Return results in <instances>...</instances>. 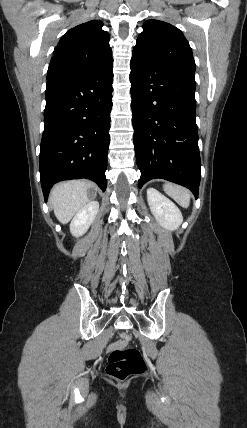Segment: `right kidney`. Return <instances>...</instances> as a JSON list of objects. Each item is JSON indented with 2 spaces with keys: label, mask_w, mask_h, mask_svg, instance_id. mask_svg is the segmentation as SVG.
Listing matches in <instances>:
<instances>
[{
  "label": "right kidney",
  "mask_w": 247,
  "mask_h": 428,
  "mask_svg": "<svg viewBox=\"0 0 247 428\" xmlns=\"http://www.w3.org/2000/svg\"><path fill=\"white\" fill-rule=\"evenodd\" d=\"M99 210V203L91 201L81 208L70 223V232L73 236L79 237L87 232L93 223Z\"/></svg>",
  "instance_id": "1"
}]
</instances>
